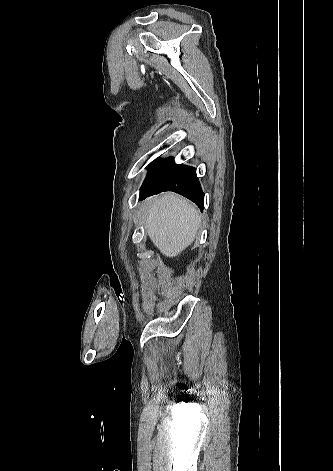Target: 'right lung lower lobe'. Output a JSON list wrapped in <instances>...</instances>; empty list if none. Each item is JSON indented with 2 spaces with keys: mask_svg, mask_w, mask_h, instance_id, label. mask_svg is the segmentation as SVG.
<instances>
[{
  "mask_svg": "<svg viewBox=\"0 0 333 471\" xmlns=\"http://www.w3.org/2000/svg\"><path fill=\"white\" fill-rule=\"evenodd\" d=\"M163 191L179 193L195 202L201 211L204 209V193L193 167L177 165L173 160L154 167L140 189V199Z\"/></svg>",
  "mask_w": 333,
  "mask_h": 471,
  "instance_id": "right-lung-lower-lobe-1",
  "label": "right lung lower lobe"
}]
</instances>
